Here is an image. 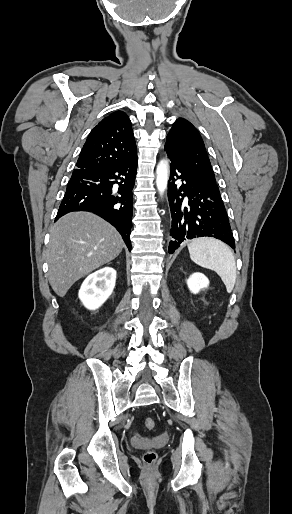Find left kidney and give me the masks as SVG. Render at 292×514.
Returning a JSON list of instances; mask_svg holds the SVG:
<instances>
[{
    "label": "left kidney",
    "instance_id": "obj_1",
    "mask_svg": "<svg viewBox=\"0 0 292 514\" xmlns=\"http://www.w3.org/2000/svg\"><path fill=\"white\" fill-rule=\"evenodd\" d=\"M187 286L193 294H198L200 290L203 288H208L209 280L204 276V274H200V272H196V274H192L189 280H187Z\"/></svg>",
    "mask_w": 292,
    "mask_h": 514
}]
</instances>
